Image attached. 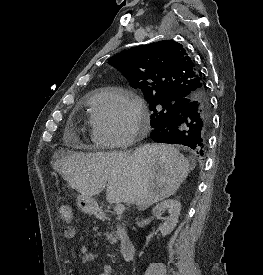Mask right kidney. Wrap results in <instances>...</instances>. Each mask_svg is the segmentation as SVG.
<instances>
[{
    "instance_id": "ca27d5eb",
    "label": "right kidney",
    "mask_w": 263,
    "mask_h": 275,
    "mask_svg": "<svg viewBox=\"0 0 263 275\" xmlns=\"http://www.w3.org/2000/svg\"><path fill=\"white\" fill-rule=\"evenodd\" d=\"M168 210L169 217L164 218L165 222L160 226V232L163 236L170 234L177 222L181 211V203L178 200L168 199L158 203L152 210V213L158 219L161 217L162 211Z\"/></svg>"
}]
</instances>
